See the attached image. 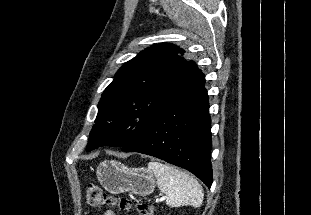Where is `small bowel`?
Here are the masks:
<instances>
[{
	"instance_id": "obj_1",
	"label": "small bowel",
	"mask_w": 311,
	"mask_h": 215,
	"mask_svg": "<svg viewBox=\"0 0 311 215\" xmlns=\"http://www.w3.org/2000/svg\"><path fill=\"white\" fill-rule=\"evenodd\" d=\"M103 215H116V213L113 210H107Z\"/></svg>"
}]
</instances>
